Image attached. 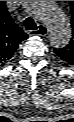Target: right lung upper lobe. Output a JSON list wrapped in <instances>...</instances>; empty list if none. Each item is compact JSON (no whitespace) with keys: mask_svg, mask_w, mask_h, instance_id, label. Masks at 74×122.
Returning a JSON list of instances; mask_svg holds the SVG:
<instances>
[{"mask_svg":"<svg viewBox=\"0 0 74 122\" xmlns=\"http://www.w3.org/2000/svg\"><path fill=\"white\" fill-rule=\"evenodd\" d=\"M5 3L0 1V65L11 59L18 44L28 38L11 19Z\"/></svg>","mask_w":74,"mask_h":122,"instance_id":"1","label":"right lung upper lobe"}]
</instances>
